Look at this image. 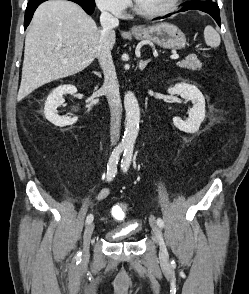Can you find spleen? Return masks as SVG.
I'll list each match as a JSON object with an SVG mask.
<instances>
[{"label": "spleen", "mask_w": 249, "mask_h": 294, "mask_svg": "<svg viewBox=\"0 0 249 294\" xmlns=\"http://www.w3.org/2000/svg\"><path fill=\"white\" fill-rule=\"evenodd\" d=\"M204 38L208 46L216 48L220 45L221 39L217 31L210 25L204 29Z\"/></svg>", "instance_id": "obj_1"}]
</instances>
